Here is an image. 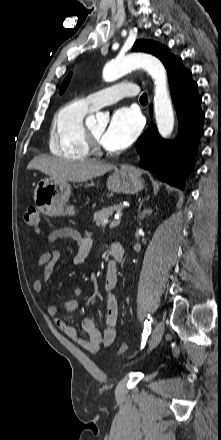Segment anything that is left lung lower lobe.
<instances>
[{
  "mask_svg": "<svg viewBox=\"0 0 221 440\" xmlns=\"http://www.w3.org/2000/svg\"><path fill=\"white\" fill-rule=\"evenodd\" d=\"M163 64L178 116V139L176 142L162 139L151 123L137 140L136 149L141 156L140 167L151 171L158 179L183 189V180L192 170L194 152L203 134L204 113L200 108L197 84L191 79V72L182 66L181 58L168 54Z\"/></svg>",
  "mask_w": 221,
  "mask_h": 440,
  "instance_id": "0a47b994",
  "label": "left lung lower lobe"
}]
</instances>
